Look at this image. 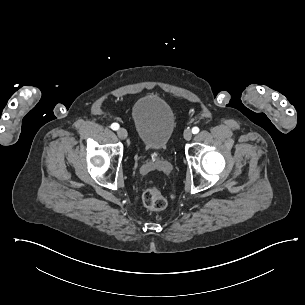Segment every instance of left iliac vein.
Returning <instances> with one entry per match:
<instances>
[{
  "label": "left iliac vein",
  "instance_id": "left-iliac-vein-1",
  "mask_svg": "<svg viewBox=\"0 0 305 305\" xmlns=\"http://www.w3.org/2000/svg\"><path fill=\"white\" fill-rule=\"evenodd\" d=\"M192 138V131L190 129L185 130L184 139L189 141Z\"/></svg>",
  "mask_w": 305,
  "mask_h": 305
}]
</instances>
